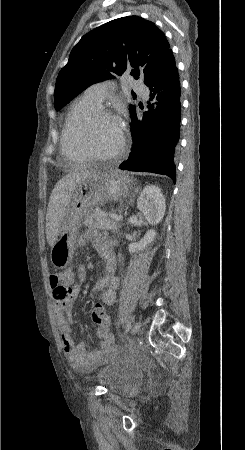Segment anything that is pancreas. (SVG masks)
Listing matches in <instances>:
<instances>
[{"instance_id":"1","label":"pancreas","mask_w":245,"mask_h":450,"mask_svg":"<svg viewBox=\"0 0 245 450\" xmlns=\"http://www.w3.org/2000/svg\"><path fill=\"white\" fill-rule=\"evenodd\" d=\"M83 224L91 228L110 230L113 233L117 232L119 226L118 221H115L109 215L96 210L87 215Z\"/></svg>"}]
</instances>
